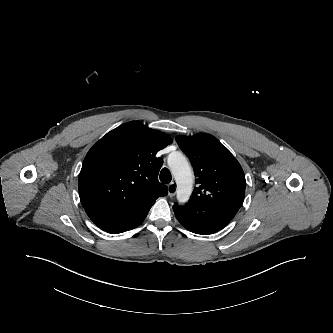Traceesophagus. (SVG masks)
Returning <instances> with one entry per match:
<instances>
[{"instance_id":"1","label":"esophagus","mask_w":333,"mask_h":333,"mask_svg":"<svg viewBox=\"0 0 333 333\" xmlns=\"http://www.w3.org/2000/svg\"><path fill=\"white\" fill-rule=\"evenodd\" d=\"M176 193V185L174 182H171L169 185H168V195L170 197H173Z\"/></svg>"}]
</instances>
